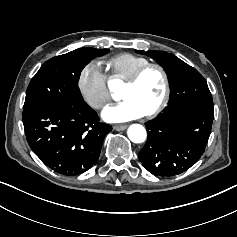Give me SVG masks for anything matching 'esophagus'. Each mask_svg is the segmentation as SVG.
I'll return each mask as SVG.
<instances>
[{
	"label": "esophagus",
	"instance_id": "esophagus-1",
	"mask_svg": "<svg viewBox=\"0 0 237 237\" xmlns=\"http://www.w3.org/2000/svg\"><path fill=\"white\" fill-rule=\"evenodd\" d=\"M127 127L128 126L126 124H124V125H114L113 129L117 130V131H122V130H125Z\"/></svg>",
	"mask_w": 237,
	"mask_h": 237
}]
</instances>
